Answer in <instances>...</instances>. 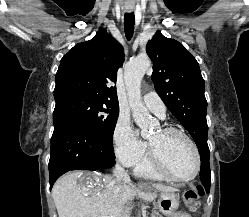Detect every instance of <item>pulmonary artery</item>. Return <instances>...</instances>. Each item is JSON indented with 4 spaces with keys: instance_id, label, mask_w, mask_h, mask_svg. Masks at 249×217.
Returning a JSON list of instances; mask_svg holds the SVG:
<instances>
[{
    "instance_id": "pulmonary-artery-1",
    "label": "pulmonary artery",
    "mask_w": 249,
    "mask_h": 217,
    "mask_svg": "<svg viewBox=\"0 0 249 217\" xmlns=\"http://www.w3.org/2000/svg\"><path fill=\"white\" fill-rule=\"evenodd\" d=\"M144 104L147 108L156 114L159 118L164 119L166 116V106L156 92H149L143 97Z\"/></svg>"
}]
</instances>
